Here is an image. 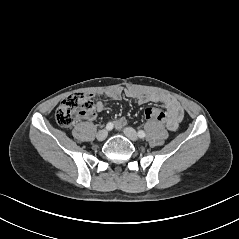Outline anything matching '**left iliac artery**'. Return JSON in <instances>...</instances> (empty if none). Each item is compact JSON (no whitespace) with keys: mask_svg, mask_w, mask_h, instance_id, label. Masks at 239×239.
<instances>
[{"mask_svg":"<svg viewBox=\"0 0 239 239\" xmlns=\"http://www.w3.org/2000/svg\"><path fill=\"white\" fill-rule=\"evenodd\" d=\"M138 136H139L140 138H144V137H145V132L142 131V130L138 131Z\"/></svg>","mask_w":239,"mask_h":239,"instance_id":"left-iliac-artery-1","label":"left iliac artery"}]
</instances>
